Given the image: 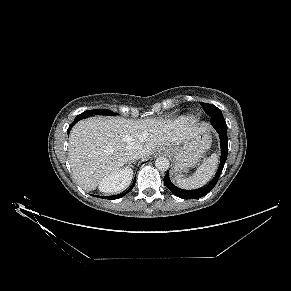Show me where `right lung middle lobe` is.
I'll return each instance as SVG.
<instances>
[{"label":"right lung middle lobe","instance_id":"obj_1","mask_svg":"<svg viewBox=\"0 0 291 291\" xmlns=\"http://www.w3.org/2000/svg\"><path fill=\"white\" fill-rule=\"evenodd\" d=\"M93 114L112 115L114 113L112 111L106 110V109L89 110V111H85V112L79 114L75 118V120L78 121V120H80L82 118H86L88 116H93Z\"/></svg>","mask_w":291,"mask_h":291}]
</instances>
